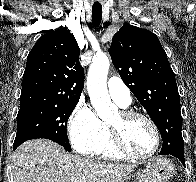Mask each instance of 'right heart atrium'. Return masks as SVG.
I'll use <instances>...</instances> for the list:
<instances>
[{
	"mask_svg": "<svg viewBox=\"0 0 196 182\" xmlns=\"http://www.w3.org/2000/svg\"><path fill=\"white\" fill-rule=\"evenodd\" d=\"M68 132L79 153L93 154L103 140L104 124L88 103L80 101L70 116Z\"/></svg>",
	"mask_w": 196,
	"mask_h": 182,
	"instance_id": "obj_1",
	"label": "right heart atrium"
}]
</instances>
